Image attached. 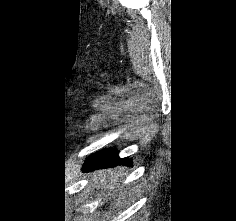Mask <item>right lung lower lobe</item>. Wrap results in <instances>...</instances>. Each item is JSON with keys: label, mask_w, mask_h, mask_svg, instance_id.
I'll return each mask as SVG.
<instances>
[{"label": "right lung lower lobe", "mask_w": 236, "mask_h": 221, "mask_svg": "<svg viewBox=\"0 0 236 221\" xmlns=\"http://www.w3.org/2000/svg\"><path fill=\"white\" fill-rule=\"evenodd\" d=\"M120 164H130V160L127 158H119L117 150L108 149L99 151L91 155L82 168L83 171H92L95 169L114 167Z\"/></svg>", "instance_id": "1"}]
</instances>
